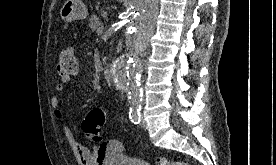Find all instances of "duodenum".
<instances>
[{
  "mask_svg": "<svg viewBox=\"0 0 276 165\" xmlns=\"http://www.w3.org/2000/svg\"><path fill=\"white\" fill-rule=\"evenodd\" d=\"M103 75H104V78L107 80V81H110L111 80V71H110V68L108 66H106L103 70Z\"/></svg>",
  "mask_w": 276,
  "mask_h": 165,
  "instance_id": "obj_1",
  "label": "duodenum"
}]
</instances>
